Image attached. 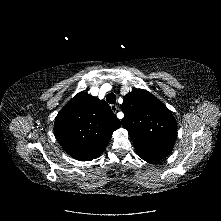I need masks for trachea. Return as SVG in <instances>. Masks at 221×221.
<instances>
[{"instance_id":"trachea-1","label":"trachea","mask_w":221,"mask_h":221,"mask_svg":"<svg viewBox=\"0 0 221 221\" xmlns=\"http://www.w3.org/2000/svg\"><path fill=\"white\" fill-rule=\"evenodd\" d=\"M106 100L109 104H115L116 103V95L113 93H109L106 96Z\"/></svg>"}]
</instances>
